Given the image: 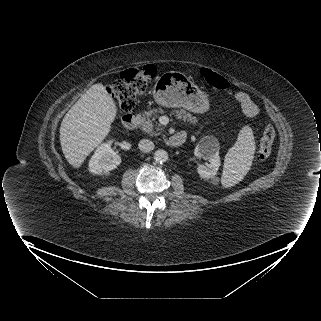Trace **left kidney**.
Listing matches in <instances>:
<instances>
[{
	"instance_id": "5707ae66",
	"label": "left kidney",
	"mask_w": 321,
	"mask_h": 321,
	"mask_svg": "<svg viewBox=\"0 0 321 321\" xmlns=\"http://www.w3.org/2000/svg\"><path fill=\"white\" fill-rule=\"evenodd\" d=\"M197 158H206L209 161L207 166L199 165L197 167L198 174L203 178H213L221 165L219 156V142L214 137H205L197 144L194 150Z\"/></svg>"
}]
</instances>
